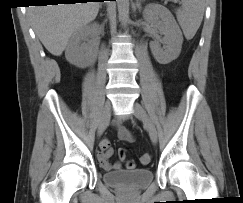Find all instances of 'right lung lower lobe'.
<instances>
[{"label":"right lung lower lobe","mask_w":243,"mask_h":203,"mask_svg":"<svg viewBox=\"0 0 243 203\" xmlns=\"http://www.w3.org/2000/svg\"><path fill=\"white\" fill-rule=\"evenodd\" d=\"M49 1H52V0H49ZM61 1H62L61 3H75V1H86V0H61ZM97 1L99 2V1H104V0H97ZM112 1H116V0H112Z\"/></svg>","instance_id":"98d812e1"}]
</instances>
